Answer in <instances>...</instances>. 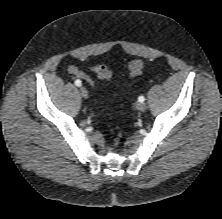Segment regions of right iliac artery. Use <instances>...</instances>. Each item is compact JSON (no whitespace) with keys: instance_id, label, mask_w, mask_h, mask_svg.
Wrapping results in <instances>:
<instances>
[{"instance_id":"right-iliac-artery-1","label":"right iliac artery","mask_w":222,"mask_h":219,"mask_svg":"<svg viewBox=\"0 0 222 219\" xmlns=\"http://www.w3.org/2000/svg\"><path fill=\"white\" fill-rule=\"evenodd\" d=\"M81 84H82V82H81L79 79H77V80L75 81V85H76V86H81Z\"/></svg>"}]
</instances>
